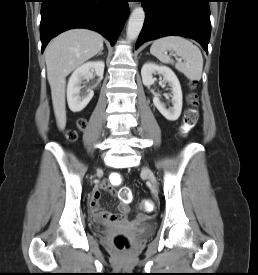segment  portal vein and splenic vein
<instances>
[{"instance_id": "18ae733b", "label": "portal vein and splenic vein", "mask_w": 258, "mask_h": 275, "mask_svg": "<svg viewBox=\"0 0 258 275\" xmlns=\"http://www.w3.org/2000/svg\"><path fill=\"white\" fill-rule=\"evenodd\" d=\"M177 60H178V61H181L182 59H181V58H179V59L177 58Z\"/></svg>"}]
</instances>
